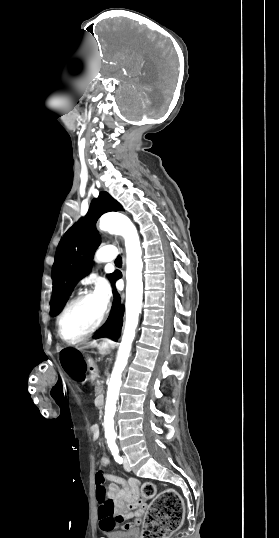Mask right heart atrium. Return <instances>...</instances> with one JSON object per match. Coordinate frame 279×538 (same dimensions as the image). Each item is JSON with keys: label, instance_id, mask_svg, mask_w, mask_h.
<instances>
[{"label": "right heart atrium", "instance_id": "right-heart-atrium-1", "mask_svg": "<svg viewBox=\"0 0 279 538\" xmlns=\"http://www.w3.org/2000/svg\"><path fill=\"white\" fill-rule=\"evenodd\" d=\"M108 233H109V234H112V235H117V236H120V235H121L119 232H117V231H116L115 229H113V228H109Z\"/></svg>", "mask_w": 279, "mask_h": 538}]
</instances>
